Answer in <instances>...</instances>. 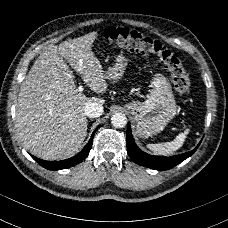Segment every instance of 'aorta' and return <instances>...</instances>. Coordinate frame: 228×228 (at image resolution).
<instances>
[{
	"instance_id": "1",
	"label": "aorta",
	"mask_w": 228,
	"mask_h": 228,
	"mask_svg": "<svg viewBox=\"0 0 228 228\" xmlns=\"http://www.w3.org/2000/svg\"><path fill=\"white\" fill-rule=\"evenodd\" d=\"M111 123L116 128H123L127 124V117L123 113H120V112L115 113L111 117Z\"/></svg>"
}]
</instances>
